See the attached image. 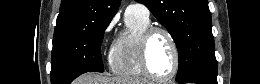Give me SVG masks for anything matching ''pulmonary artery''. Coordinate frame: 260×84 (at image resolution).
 I'll return each instance as SVG.
<instances>
[{
    "mask_svg": "<svg viewBox=\"0 0 260 84\" xmlns=\"http://www.w3.org/2000/svg\"><path fill=\"white\" fill-rule=\"evenodd\" d=\"M130 12L138 13L145 18H149L150 16L149 10L142 4H130L126 9V13Z\"/></svg>",
    "mask_w": 260,
    "mask_h": 84,
    "instance_id": "obj_1",
    "label": "pulmonary artery"
}]
</instances>
